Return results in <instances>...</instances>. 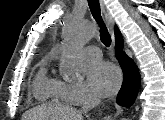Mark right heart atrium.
<instances>
[{"label":"right heart atrium","mask_w":165,"mask_h":120,"mask_svg":"<svg viewBox=\"0 0 165 120\" xmlns=\"http://www.w3.org/2000/svg\"><path fill=\"white\" fill-rule=\"evenodd\" d=\"M61 88L66 100L73 104L91 101L93 95L83 82H61Z\"/></svg>","instance_id":"1"}]
</instances>
